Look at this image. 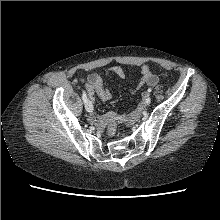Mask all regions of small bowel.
<instances>
[{
	"mask_svg": "<svg viewBox=\"0 0 220 220\" xmlns=\"http://www.w3.org/2000/svg\"><path fill=\"white\" fill-rule=\"evenodd\" d=\"M110 75H116L120 78H124L125 72L121 67L114 66L107 69L103 74L93 73L86 79L81 80L91 100L94 99V95L102 101H108L112 97L111 91L105 87V78ZM140 75L141 78L138 87H142L144 85L155 86L159 83V78L153 74L150 68L146 65L140 67ZM110 116L112 115H108L106 118L108 119ZM106 118L91 115L89 117V121L98 124L100 127H104Z\"/></svg>",
	"mask_w": 220,
	"mask_h": 220,
	"instance_id": "1",
	"label": "small bowel"
}]
</instances>
